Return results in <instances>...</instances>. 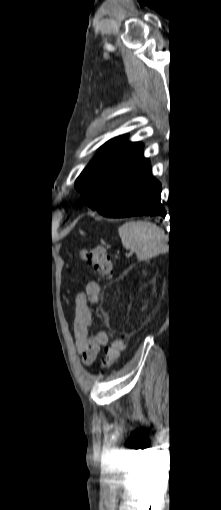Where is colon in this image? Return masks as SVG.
I'll list each match as a JSON object with an SVG mask.
<instances>
[{
  "label": "colon",
  "instance_id": "1",
  "mask_svg": "<svg viewBox=\"0 0 221 510\" xmlns=\"http://www.w3.org/2000/svg\"><path fill=\"white\" fill-rule=\"evenodd\" d=\"M81 257L98 275L109 276L111 274L112 260L106 249L102 247L84 249L81 252ZM126 343L127 339L124 335L112 340L105 350V355L101 362L102 368L110 367L119 359L126 347Z\"/></svg>",
  "mask_w": 221,
  "mask_h": 510
}]
</instances>
